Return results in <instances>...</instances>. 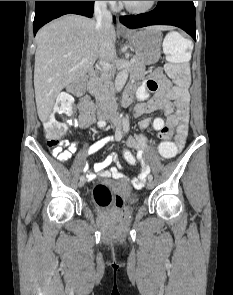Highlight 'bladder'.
<instances>
[{
	"instance_id": "obj_1",
	"label": "bladder",
	"mask_w": 233,
	"mask_h": 295,
	"mask_svg": "<svg viewBox=\"0 0 233 295\" xmlns=\"http://www.w3.org/2000/svg\"><path fill=\"white\" fill-rule=\"evenodd\" d=\"M138 200V195L135 192L128 193L126 197L127 204L131 205L134 204Z\"/></svg>"
}]
</instances>
